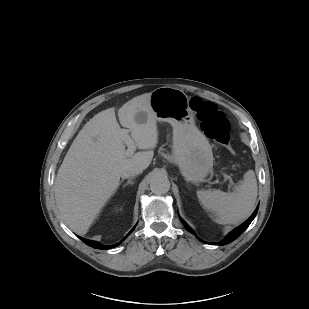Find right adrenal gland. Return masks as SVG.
Segmentation results:
<instances>
[{"mask_svg": "<svg viewBox=\"0 0 309 309\" xmlns=\"http://www.w3.org/2000/svg\"><path fill=\"white\" fill-rule=\"evenodd\" d=\"M133 179H135V176L130 177L128 181L123 185V188H125L129 184L133 185L134 184Z\"/></svg>", "mask_w": 309, "mask_h": 309, "instance_id": "2a0ac1e0", "label": "right adrenal gland"}]
</instances>
